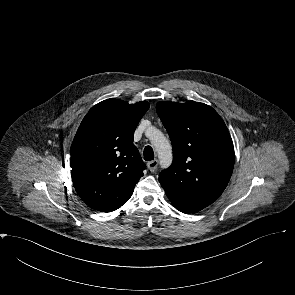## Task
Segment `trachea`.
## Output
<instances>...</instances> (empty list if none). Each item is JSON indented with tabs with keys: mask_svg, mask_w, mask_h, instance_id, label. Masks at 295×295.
<instances>
[{
	"mask_svg": "<svg viewBox=\"0 0 295 295\" xmlns=\"http://www.w3.org/2000/svg\"><path fill=\"white\" fill-rule=\"evenodd\" d=\"M154 159V152L151 146H146L144 148V160L151 161Z\"/></svg>",
	"mask_w": 295,
	"mask_h": 295,
	"instance_id": "3493384b",
	"label": "trachea"
}]
</instances>
